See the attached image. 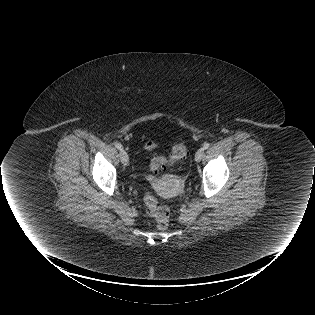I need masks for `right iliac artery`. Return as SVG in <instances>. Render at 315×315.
<instances>
[{"label":"right iliac artery","mask_w":315,"mask_h":315,"mask_svg":"<svg viewBox=\"0 0 315 315\" xmlns=\"http://www.w3.org/2000/svg\"><path fill=\"white\" fill-rule=\"evenodd\" d=\"M115 147L118 148L119 150L123 149V146L120 143H115Z\"/></svg>","instance_id":"1"}]
</instances>
